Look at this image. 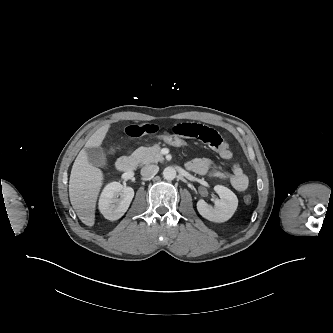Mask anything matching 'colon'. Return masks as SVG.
<instances>
[{
    "mask_svg": "<svg viewBox=\"0 0 333 333\" xmlns=\"http://www.w3.org/2000/svg\"><path fill=\"white\" fill-rule=\"evenodd\" d=\"M157 139L164 142L165 144L175 148V149H186L190 146V140L179 135L173 133H160L155 135ZM114 148L110 150V152H114ZM244 202L246 204H250L252 202L251 195L244 196Z\"/></svg>",
    "mask_w": 333,
    "mask_h": 333,
    "instance_id": "obj_1",
    "label": "colon"
}]
</instances>
